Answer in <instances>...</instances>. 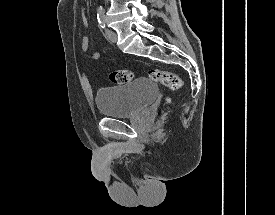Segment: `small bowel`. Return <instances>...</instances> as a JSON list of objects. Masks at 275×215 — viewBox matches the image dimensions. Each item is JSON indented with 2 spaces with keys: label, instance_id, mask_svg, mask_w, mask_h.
<instances>
[{
  "label": "small bowel",
  "instance_id": "small-bowel-1",
  "mask_svg": "<svg viewBox=\"0 0 275 215\" xmlns=\"http://www.w3.org/2000/svg\"><path fill=\"white\" fill-rule=\"evenodd\" d=\"M82 24H83L84 28H86L88 26V20H87L85 13H82ZM81 48H82L83 52H85L86 57L88 59L98 60L100 58L99 51L95 50V51L89 52L90 43H89V39H88L87 35H85V34L81 38Z\"/></svg>",
  "mask_w": 275,
  "mask_h": 215
}]
</instances>
